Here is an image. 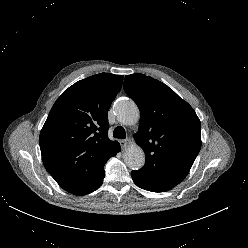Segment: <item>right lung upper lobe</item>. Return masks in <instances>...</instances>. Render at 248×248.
Wrapping results in <instances>:
<instances>
[{
  "label": "right lung upper lobe",
  "mask_w": 248,
  "mask_h": 248,
  "mask_svg": "<svg viewBox=\"0 0 248 248\" xmlns=\"http://www.w3.org/2000/svg\"><path fill=\"white\" fill-rule=\"evenodd\" d=\"M122 81V75L100 73L76 82L56 100L41 130L44 166L71 194L95 191L105 163L119 152L107 136V112Z\"/></svg>",
  "instance_id": "1"
}]
</instances>
